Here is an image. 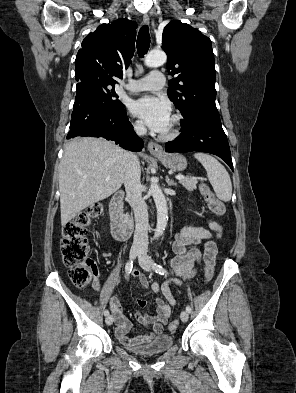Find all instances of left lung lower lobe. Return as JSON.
<instances>
[{"instance_id": "obj_1", "label": "left lung lower lobe", "mask_w": 296, "mask_h": 393, "mask_svg": "<svg viewBox=\"0 0 296 393\" xmlns=\"http://www.w3.org/2000/svg\"><path fill=\"white\" fill-rule=\"evenodd\" d=\"M166 152H207L222 158L233 170L230 148L218 112H204L182 126L181 134L166 143Z\"/></svg>"}]
</instances>
